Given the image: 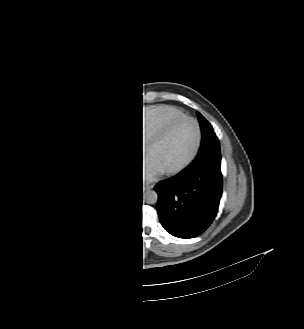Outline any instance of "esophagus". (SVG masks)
<instances>
[{"label": "esophagus", "mask_w": 304, "mask_h": 329, "mask_svg": "<svg viewBox=\"0 0 304 329\" xmlns=\"http://www.w3.org/2000/svg\"><path fill=\"white\" fill-rule=\"evenodd\" d=\"M153 187L152 184L148 183V182H143V191H147L149 189H151Z\"/></svg>", "instance_id": "esophagus-1"}]
</instances>
